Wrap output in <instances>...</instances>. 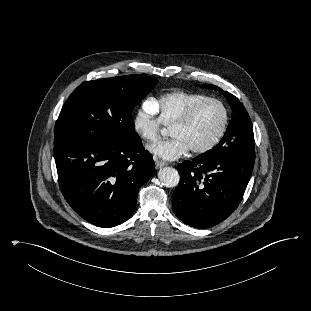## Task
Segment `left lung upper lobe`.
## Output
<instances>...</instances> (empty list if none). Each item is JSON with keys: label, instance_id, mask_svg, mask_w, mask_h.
I'll return each instance as SVG.
<instances>
[{"label": "left lung upper lobe", "instance_id": "left-lung-upper-lobe-1", "mask_svg": "<svg viewBox=\"0 0 311 311\" xmlns=\"http://www.w3.org/2000/svg\"><path fill=\"white\" fill-rule=\"evenodd\" d=\"M205 89H218L228 100L233 116L228 128L219 142L212 150L203 154L205 156H220L234 151H253L255 150V141L251 120L243 104L234 95L214 85H202Z\"/></svg>", "mask_w": 311, "mask_h": 311}]
</instances>
